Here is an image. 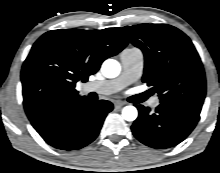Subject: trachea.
I'll return each mask as SVG.
<instances>
[{
	"label": "trachea",
	"instance_id": "1",
	"mask_svg": "<svg viewBox=\"0 0 220 173\" xmlns=\"http://www.w3.org/2000/svg\"><path fill=\"white\" fill-rule=\"evenodd\" d=\"M149 96H151V93L149 91L138 94V95H134L131 97V101L132 103H141L143 101H145Z\"/></svg>",
	"mask_w": 220,
	"mask_h": 173
}]
</instances>
